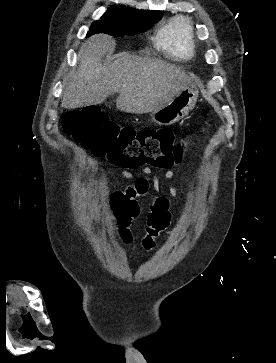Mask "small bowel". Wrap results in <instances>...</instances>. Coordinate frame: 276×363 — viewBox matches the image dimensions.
<instances>
[{"label":"small bowel","mask_w":276,"mask_h":363,"mask_svg":"<svg viewBox=\"0 0 276 363\" xmlns=\"http://www.w3.org/2000/svg\"><path fill=\"white\" fill-rule=\"evenodd\" d=\"M142 172L147 176L151 173V169L148 167H144ZM122 175L125 178H132V174L129 171H122ZM174 174L172 170H167L165 173V178L167 180H171ZM158 185V180L154 179L151 183L146 177L138 178L132 185L126 187L123 190L117 191L113 197L111 206L113 209L117 210L125 220V223L128 225L136 219L141 212V208L139 205V200L145 197L151 190L152 187ZM168 192L171 197L178 199V191L177 189L169 185L167 187ZM194 192H197L195 189H192ZM168 206H169V199L166 196L159 195L155 193L153 196V200L150 206V213L149 216L154 214L157 216L158 220L160 221H167L168 219ZM185 218L182 216L178 223L176 224L175 228L172 230L173 233H179L182 227L184 226ZM166 229H154L149 225L146 228L145 235H150L154 240Z\"/></svg>","instance_id":"small-bowel-1"}]
</instances>
